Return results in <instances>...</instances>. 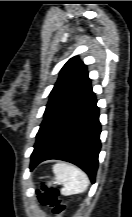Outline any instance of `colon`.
Wrapping results in <instances>:
<instances>
[{"label": "colon", "instance_id": "colon-1", "mask_svg": "<svg viewBox=\"0 0 132 217\" xmlns=\"http://www.w3.org/2000/svg\"><path fill=\"white\" fill-rule=\"evenodd\" d=\"M38 198L42 205L50 207L56 215H61L65 205L59 198V191L56 188H48L46 185L38 190Z\"/></svg>", "mask_w": 132, "mask_h": 217}]
</instances>
